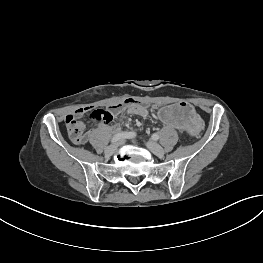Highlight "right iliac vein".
I'll return each mask as SVG.
<instances>
[{
    "label": "right iliac vein",
    "instance_id": "right-iliac-vein-1",
    "mask_svg": "<svg viewBox=\"0 0 263 263\" xmlns=\"http://www.w3.org/2000/svg\"><path fill=\"white\" fill-rule=\"evenodd\" d=\"M117 147H118V144L114 143V144H111L110 146H108L106 149H105V154L107 156H111L115 153V151L117 150Z\"/></svg>",
    "mask_w": 263,
    "mask_h": 263
}]
</instances>
